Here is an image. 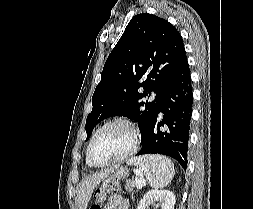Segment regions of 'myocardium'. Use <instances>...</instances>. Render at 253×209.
Here are the masks:
<instances>
[{
	"mask_svg": "<svg viewBox=\"0 0 253 209\" xmlns=\"http://www.w3.org/2000/svg\"><path fill=\"white\" fill-rule=\"evenodd\" d=\"M113 124H121L129 129V131L131 133V138H132L131 145L124 153H122L120 156L116 157L115 159L104 162V163H96L92 158L93 143H94L96 137L98 136V134L104 128H106L110 125H113ZM139 141H140L139 130H138V127L136 126V124L132 120H130L129 118H126V117L111 118V119L107 120L106 122H104L101 126H99L97 128V130L94 132L93 136L91 137L88 147H87L88 163L92 167L102 168V167H107V166L122 162L125 159H127L129 156H131L137 150V148L139 146Z\"/></svg>",
	"mask_w": 253,
	"mask_h": 209,
	"instance_id": "f54148a6",
	"label": "myocardium"
}]
</instances>
